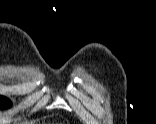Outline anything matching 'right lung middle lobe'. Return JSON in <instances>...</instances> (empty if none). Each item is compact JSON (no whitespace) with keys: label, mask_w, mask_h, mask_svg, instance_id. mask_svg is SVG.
Returning <instances> with one entry per match:
<instances>
[{"label":"right lung middle lobe","mask_w":156,"mask_h":124,"mask_svg":"<svg viewBox=\"0 0 156 124\" xmlns=\"http://www.w3.org/2000/svg\"><path fill=\"white\" fill-rule=\"evenodd\" d=\"M11 107V101L3 96H0V109H6Z\"/></svg>","instance_id":"obj_1"}]
</instances>
